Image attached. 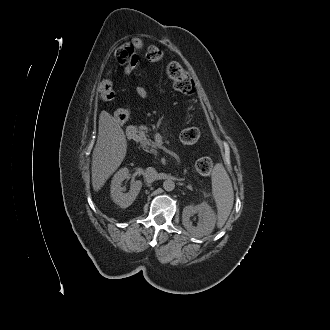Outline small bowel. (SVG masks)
<instances>
[{"mask_svg": "<svg viewBox=\"0 0 330 330\" xmlns=\"http://www.w3.org/2000/svg\"><path fill=\"white\" fill-rule=\"evenodd\" d=\"M132 45L135 48H140L142 46V41L139 38H134V39H132ZM137 65H138V58H137V56H135L128 63L122 64L123 73L125 75L131 74L136 69ZM135 92H136L137 96L141 99H146L148 97V90L144 86L136 87ZM119 110L123 112L122 115L127 114L129 116V111L127 109H119ZM127 120H125V121H127ZM125 121H121V122H125Z\"/></svg>", "mask_w": 330, "mask_h": 330, "instance_id": "1", "label": "small bowel"}]
</instances>
